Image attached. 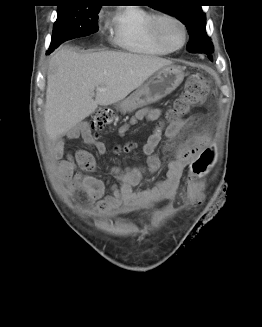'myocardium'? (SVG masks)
<instances>
[{
  "label": "myocardium",
  "mask_w": 262,
  "mask_h": 327,
  "mask_svg": "<svg viewBox=\"0 0 262 327\" xmlns=\"http://www.w3.org/2000/svg\"><path fill=\"white\" fill-rule=\"evenodd\" d=\"M164 21H172L180 26L183 33V40L179 46L171 45L164 37L161 28L162 23ZM152 32L155 38L158 40V42L161 43L165 48H167L170 51H178L182 49L186 45L188 40V29L186 24L179 17L170 13H159L154 16L152 20Z\"/></svg>",
  "instance_id": "f54148a6"
}]
</instances>
